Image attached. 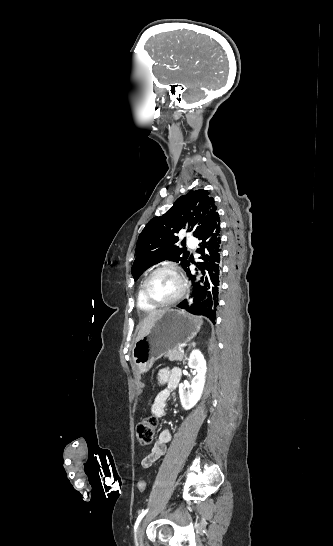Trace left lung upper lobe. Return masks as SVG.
<instances>
[{"instance_id": "5c2ea615", "label": "left lung upper lobe", "mask_w": 333, "mask_h": 546, "mask_svg": "<svg viewBox=\"0 0 333 546\" xmlns=\"http://www.w3.org/2000/svg\"><path fill=\"white\" fill-rule=\"evenodd\" d=\"M216 209L208 191L191 190L179 197L164 215L150 220L138 237L131 270L134 280L150 266L164 260L180 262L187 271L189 253L177 245L179 238L176 234L188 227L187 231L195 229L193 236L198 238L218 214Z\"/></svg>"}]
</instances>
